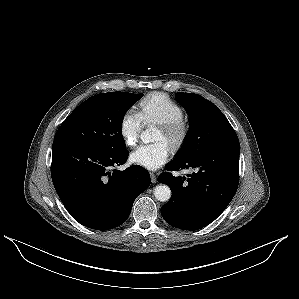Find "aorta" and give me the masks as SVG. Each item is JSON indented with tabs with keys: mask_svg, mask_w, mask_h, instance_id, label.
<instances>
[{
	"mask_svg": "<svg viewBox=\"0 0 299 299\" xmlns=\"http://www.w3.org/2000/svg\"><path fill=\"white\" fill-rule=\"evenodd\" d=\"M154 128L149 127L141 134V139L143 142L147 143L152 141ZM154 196L160 202H167L171 198V190L167 185H158L154 189Z\"/></svg>",
	"mask_w": 299,
	"mask_h": 299,
	"instance_id": "obj_1",
	"label": "aorta"
}]
</instances>
